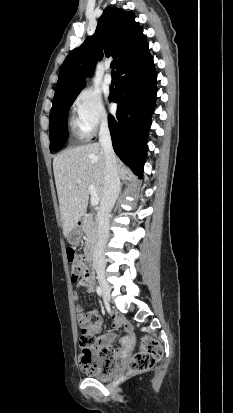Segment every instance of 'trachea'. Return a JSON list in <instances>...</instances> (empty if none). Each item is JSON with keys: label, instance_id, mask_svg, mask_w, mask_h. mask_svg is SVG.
I'll use <instances>...</instances> for the list:
<instances>
[{"label": "trachea", "instance_id": "obj_1", "mask_svg": "<svg viewBox=\"0 0 233 413\" xmlns=\"http://www.w3.org/2000/svg\"><path fill=\"white\" fill-rule=\"evenodd\" d=\"M114 68H115V62H112L111 63V69L114 70ZM112 74H115V71H112Z\"/></svg>", "mask_w": 233, "mask_h": 413}]
</instances>
